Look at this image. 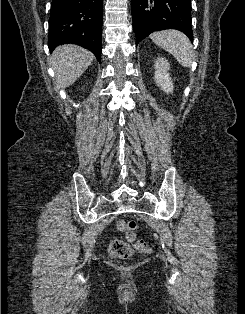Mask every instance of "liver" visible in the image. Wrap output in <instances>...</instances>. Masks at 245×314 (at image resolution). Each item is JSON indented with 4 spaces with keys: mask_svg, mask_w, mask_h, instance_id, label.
<instances>
[{
    "mask_svg": "<svg viewBox=\"0 0 245 314\" xmlns=\"http://www.w3.org/2000/svg\"><path fill=\"white\" fill-rule=\"evenodd\" d=\"M94 55L83 47L66 44L57 47L52 53V67L55 72L57 89L72 85L91 65Z\"/></svg>",
    "mask_w": 245,
    "mask_h": 314,
    "instance_id": "obj_1",
    "label": "liver"
}]
</instances>
